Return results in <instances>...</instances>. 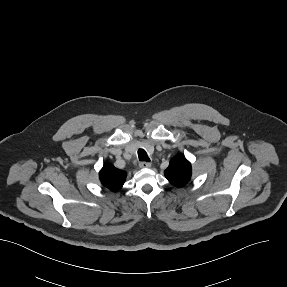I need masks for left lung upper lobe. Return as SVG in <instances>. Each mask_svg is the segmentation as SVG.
<instances>
[{
  "label": "left lung upper lobe",
  "instance_id": "1",
  "mask_svg": "<svg viewBox=\"0 0 287 287\" xmlns=\"http://www.w3.org/2000/svg\"><path fill=\"white\" fill-rule=\"evenodd\" d=\"M191 174V163L182 154L171 159L169 167L165 170L167 180L177 187L187 184Z\"/></svg>",
  "mask_w": 287,
  "mask_h": 287
}]
</instances>
